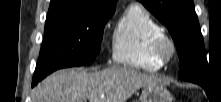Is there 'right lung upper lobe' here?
<instances>
[{
    "instance_id": "right-lung-upper-lobe-1",
    "label": "right lung upper lobe",
    "mask_w": 221,
    "mask_h": 102,
    "mask_svg": "<svg viewBox=\"0 0 221 102\" xmlns=\"http://www.w3.org/2000/svg\"><path fill=\"white\" fill-rule=\"evenodd\" d=\"M117 0H51L48 13L73 10L115 9Z\"/></svg>"
}]
</instances>
